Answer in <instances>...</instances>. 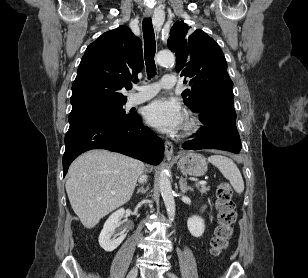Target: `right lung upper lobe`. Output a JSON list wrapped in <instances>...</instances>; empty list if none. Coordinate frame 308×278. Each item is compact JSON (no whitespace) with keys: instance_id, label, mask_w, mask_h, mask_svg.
Returning <instances> with one entry per match:
<instances>
[{"instance_id":"obj_1","label":"right lung upper lobe","mask_w":308,"mask_h":278,"mask_svg":"<svg viewBox=\"0 0 308 278\" xmlns=\"http://www.w3.org/2000/svg\"><path fill=\"white\" fill-rule=\"evenodd\" d=\"M142 69L141 40L126 26L105 32L87 47L81 59L69 116L126 103L127 97L119 91L136 80Z\"/></svg>"}]
</instances>
